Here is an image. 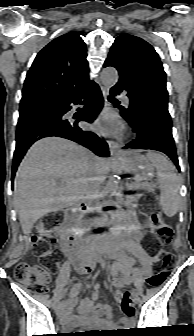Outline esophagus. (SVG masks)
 I'll list each match as a JSON object with an SVG mask.
<instances>
[{"label": "esophagus", "instance_id": "1", "mask_svg": "<svg viewBox=\"0 0 194 336\" xmlns=\"http://www.w3.org/2000/svg\"><path fill=\"white\" fill-rule=\"evenodd\" d=\"M101 91L104 97V104L105 106H107L108 104L107 96L109 95V89L107 87H101ZM108 146H109L110 154L112 156L121 155L123 153L120 146L115 141L108 140Z\"/></svg>", "mask_w": 194, "mask_h": 336}]
</instances>
